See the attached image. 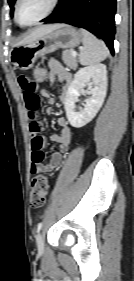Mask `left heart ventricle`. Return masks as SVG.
Wrapping results in <instances>:
<instances>
[{"mask_svg": "<svg viewBox=\"0 0 134 281\" xmlns=\"http://www.w3.org/2000/svg\"><path fill=\"white\" fill-rule=\"evenodd\" d=\"M52 0H21L18 8V17L21 23L30 24L49 9Z\"/></svg>", "mask_w": 134, "mask_h": 281, "instance_id": "obj_1", "label": "left heart ventricle"}]
</instances>
